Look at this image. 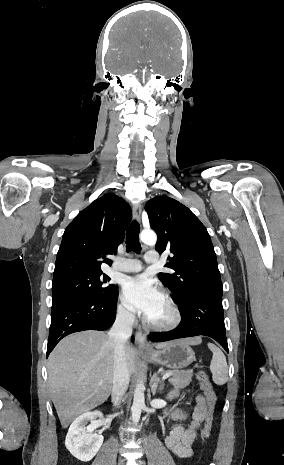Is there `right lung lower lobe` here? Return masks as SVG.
<instances>
[{"instance_id":"obj_1","label":"right lung lower lobe","mask_w":284,"mask_h":465,"mask_svg":"<svg viewBox=\"0 0 284 465\" xmlns=\"http://www.w3.org/2000/svg\"><path fill=\"white\" fill-rule=\"evenodd\" d=\"M117 298L118 287L106 296H74L53 305L47 357L71 333L110 328L115 321Z\"/></svg>"}]
</instances>
